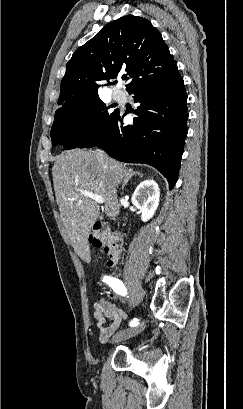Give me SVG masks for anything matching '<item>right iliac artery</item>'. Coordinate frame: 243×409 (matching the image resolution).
Returning <instances> with one entry per match:
<instances>
[{"instance_id": "obj_1", "label": "right iliac artery", "mask_w": 243, "mask_h": 409, "mask_svg": "<svg viewBox=\"0 0 243 409\" xmlns=\"http://www.w3.org/2000/svg\"><path fill=\"white\" fill-rule=\"evenodd\" d=\"M103 282H106L116 293L122 296H125L127 294L126 288L120 280L110 277V276H104ZM138 324H139V320L137 318H134L133 320H131L129 325L131 327H134V326H137Z\"/></svg>"}]
</instances>
